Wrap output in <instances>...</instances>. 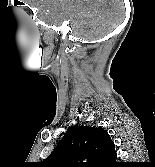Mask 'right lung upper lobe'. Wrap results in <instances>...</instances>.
I'll return each mask as SVG.
<instances>
[{"instance_id":"cb5924a9","label":"right lung upper lobe","mask_w":155,"mask_h":167,"mask_svg":"<svg viewBox=\"0 0 155 167\" xmlns=\"http://www.w3.org/2000/svg\"><path fill=\"white\" fill-rule=\"evenodd\" d=\"M115 145L103 128L71 126L43 167H114Z\"/></svg>"}]
</instances>
